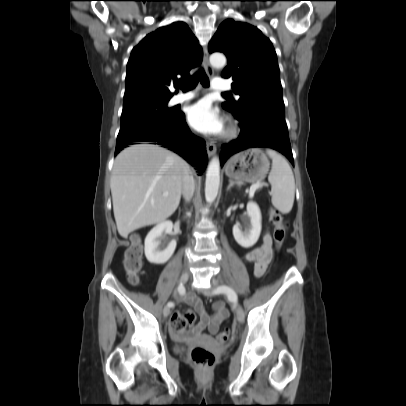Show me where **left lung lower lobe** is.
<instances>
[{"label": "left lung lower lobe", "mask_w": 406, "mask_h": 406, "mask_svg": "<svg viewBox=\"0 0 406 406\" xmlns=\"http://www.w3.org/2000/svg\"><path fill=\"white\" fill-rule=\"evenodd\" d=\"M239 137L221 148V165L233 154L247 148L267 147L284 154L294 164L285 116L265 111H255L238 119Z\"/></svg>", "instance_id": "1"}]
</instances>
